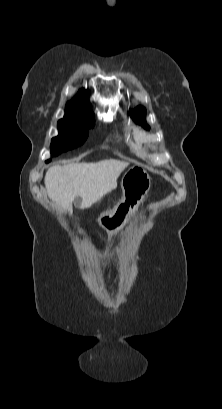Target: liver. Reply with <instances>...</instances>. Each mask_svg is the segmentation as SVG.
<instances>
[{"instance_id":"liver-1","label":"liver","mask_w":222,"mask_h":409,"mask_svg":"<svg viewBox=\"0 0 222 409\" xmlns=\"http://www.w3.org/2000/svg\"><path fill=\"white\" fill-rule=\"evenodd\" d=\"M129 164L115 159L91 163H71L50 167L44 183L48 196L64 211L79 197L82 209L99 202L117 187V179Z\"/></svg>"}]
</instances>
